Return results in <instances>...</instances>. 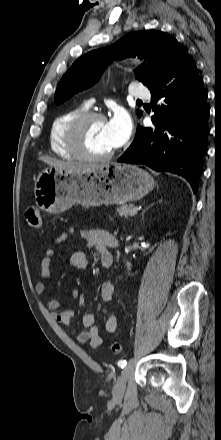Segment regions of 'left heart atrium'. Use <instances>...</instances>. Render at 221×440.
<instances>
[{"label":"left heart atrium","mask_w":221,"mask_h":440,"mask_svg":"<svg viewBox=\"0 0 221 440\" xmlns=\"http://www.w3.org/2000/svg\"><path fill=\"white\" fill-rule=\"evenodd\" d=\"M110 144L113 148L123 145L132 132V121L124 110H118L107 122Z\"/></svg>","instance_id":"left-heart-atrium-1"}]
</instances>
